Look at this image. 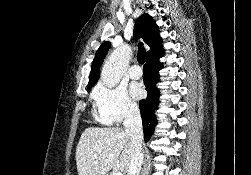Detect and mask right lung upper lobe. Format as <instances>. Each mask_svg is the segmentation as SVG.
<instances>
[{"label":"right lung upper lobe","instance_id":"cb5924a9","mask_svg":"<svg viewBox=\"0 0 251 175\" xmlns=\"http://www.w3.org/2000/svg\"><path fill=\"white\" fill-rule=\"evenodd\" d=\"M141 36L145 43L150 47L147 52L146 62H155L160 56L163 55L164 50L162 48V39L159 36L158 26L155 21L148 14L142 15L136 21L134 28V37ZM110 48V42L103 43L96 52L95 58L92 63V69L90 73L88 89L93 87L99 79L100 66Z\"/></svg>","mask_w":251,"mask_h":175}]
</instances>
